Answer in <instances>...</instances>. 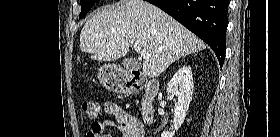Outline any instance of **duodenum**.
Wrapping results in <instances>:
<instances>
[{"label":"duodenum","instance_id":"duodenum-1","mask_svg":"<svg viewBox=\"0 0 280 137\" xmlns=\"http://www.w3.org/2000/svg\"><path fill=\"white\" fill-rule=\"evenodd\" d=\"M130 87L133 92L141 91V117L144 123L152 124L155 121V98L160 90L159 82L150 79L142 82L137 77H132Z\"/></svg>","mask_w":280,"mask_h":137}]
</instances>
